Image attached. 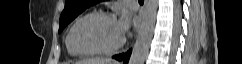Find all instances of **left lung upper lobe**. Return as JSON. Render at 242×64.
Returning <instances> with one entry per match:
<instances>
[{"instance_id":"obj_1","label":"left lung upper lobe","mask_w":242,"mask_h":64,"mask_svg":"<svg viewBox=\"0 0 242 64\" xmlns=\"http://www.w3.org/2000/svg\"><path fill=\"white\" fill-rule=\"evenodd\" d=\"M104 0H66L65 8L59 21V32L81 14L86 8Z\"/></svg>"}]
</instances>
